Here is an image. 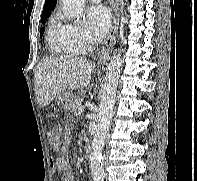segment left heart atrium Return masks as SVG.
I'll use <instances>...</instances> for the list:
<instances>
[{"instance_id":"1","label":"left heart atrium","mask_w":197,"mask_h":181,"mask_svg":"<svg viewBox=\"0 0 197 181\" xmlns=\"http://www.w3.org/2000/svg\"><path fill=\"white\" fill-rule=\"evenodd\" d=\"M87 24L90 32L96 37H103L111 25V12L104 5H95L86 12Z\"/></svg>"}]
</instances>
